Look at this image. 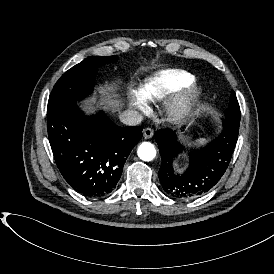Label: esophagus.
Segmentation results:
<instances>
[{
	"label": "esophagus",
	"mask_w": 274,
	"mask_h": 274,
	"mask_svg": "<svg viewBox=\"0 0 274 274\" xmlns=\"http://www.w3.org/2000/svg\"><path fill=\"white\" fill-rule=\"evenodd\" d=\"M153 135H154V131L151 128H149V127L144 128L143 137L145 139H150Z\"/></svg>",
	"instance_id": "1"
}]
</instances>
